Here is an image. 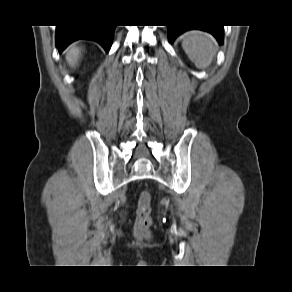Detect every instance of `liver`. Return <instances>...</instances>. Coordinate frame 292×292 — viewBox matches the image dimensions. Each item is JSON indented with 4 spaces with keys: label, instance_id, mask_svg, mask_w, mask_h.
Returning <instances> with one entry per match:
<instances>
[{
    "label": "liver",
    "instance_id": "1",
    "mask_svg": "<svg viewBox=\"0 0 292 292\" xmlns=\"http://www.w3.org/2000/svg\"><path fill=\"white\" fill-rule=\"evenodd\" d=\"M80 58H81V49L76 46H72L66 54V60L69 63V66L72 68L78 65Z\"/></svg>",
    "mask_w": 292,
    "mask_h": 292
}]
</instances>
